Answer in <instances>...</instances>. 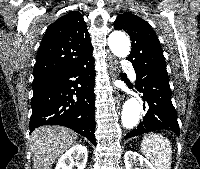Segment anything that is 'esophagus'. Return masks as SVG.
Segmentation results:
<instances>
[{
	"label": "esophagus",
	"mask_w": 200,
	"mask_h": 169,
	"mask_svg": "<svg viewBox=\"0 0 200 169\" xmlns=\"http://www.w3.org/2000/svg\"><path fill=\"white\" fill-rule=\"evenodd\" d=\"M117 69H118L117 60L114 57H112L109 62V74L112 81H114L118 76ZM114 94L118 100H121L124 97L123 92L117 87H114Z\"/></svg>",
	"instance_id": "esophagus-1"
}]
</instances>
